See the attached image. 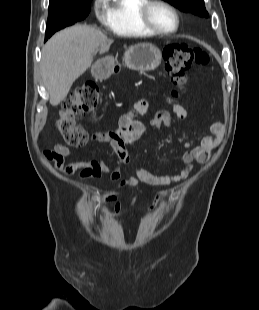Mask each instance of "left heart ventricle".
I'll return each instance as SVG.
<instances>
[{"instance_id":"b2bd125f","label":"left heart ventricle","mask_w":259,"mask_h":310,"mask_svg":"<svg viewBox=\"0 0 259 310\" xmlns=\"http://www.w3.org/2000/svg\"><path fill=\"white\" fill-rule=\"evenodd\" d=\"M150 18L154 25L163 30H171L176 25V20L172 12L160 5L152 7Z\"/></svg>"}]
</instances>
